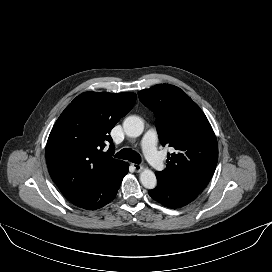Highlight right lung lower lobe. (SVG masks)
Returning <instances> with one entry per match:
<instances>
[{"label": "right lung lower lobe", "instance_id": "1", "mask_svg": "<svg viewBox=\"0 0 272 272\" xmlns=\"http://www.w3.org/2000/svg\"><path fill=\"white\" fill-rule=\"evenodd\" d=\"M128 167V163L121 161L93 186L62 194L74 205L83 209L101 208L115 198L124 176L128 173Z\"/></svg>", "mask_w": 272, "mask_h": 272}]
</instances>
